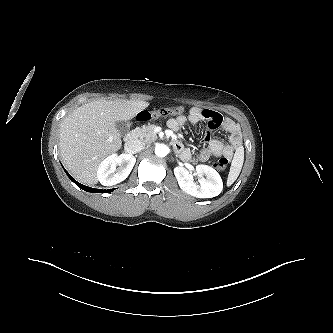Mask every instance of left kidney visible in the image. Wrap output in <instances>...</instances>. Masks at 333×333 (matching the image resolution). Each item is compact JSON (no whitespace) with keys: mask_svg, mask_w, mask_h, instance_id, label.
Here are the masks:
<instances>
[{"mask_svg":"<svg viewBox=\"0 0 333 333\" xmlns=\"http://www.w3.org/2000/svg\"><path fill=\"white\" fill-rule=\"evenodd\" d=\"M174 174L180 188L194 197L212 198L222 192L223 182L219 173L208 165L196 166V174L200 177L198 183L194 182L193 175L183 167H175Z\"/></svg>","mask_w":333,"mask_h":333,"instance_id":"left-kidney-1","label":"left kidney"}]
</instances>
